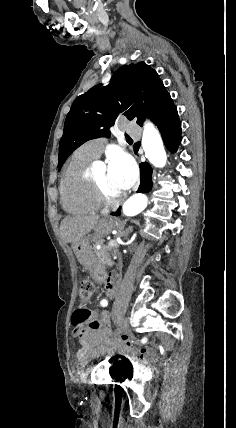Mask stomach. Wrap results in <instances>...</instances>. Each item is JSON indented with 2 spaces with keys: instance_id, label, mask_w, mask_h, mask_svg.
Here are the masks:
<instances>
[{
  "instance_id": "obj_1",
  "label": "stomach",
  "mask_w": 236,
  "mask_h": 428,
  "mask_svg": "<svg viewBox=\"0 0 236 428\" xmlns=\"http://www.w3.org/2000/svg\"><path fill=\"white\" fill-rule=\"evenodd\" d=\"M109 232V226H105L103 222H99L96 228H94V234L91 236H86L78 242H72V250L81 262L83 269H87L90 274V279L92 283H95L96 286L101 287L105 282V265L103 262H100L97 256H94L91 248V242H100L104 236H107Z\"/></svg>"
}]
</instances>
